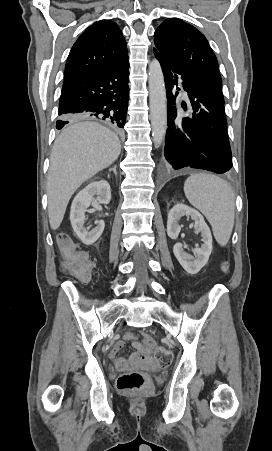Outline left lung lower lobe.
Instances as JSON below:
<instances>
[{
	"label": "left lung lower lobe",
	"mask_w": 272,
	"mask_h": 451,
	"mask_svg": "<svg viewBox=\"0 0 272 451\" xmlns=\"http://www.w3.org/2000/svg\"><path fill=\"white\" fill-rule=\"evenodd\" d=\"M164 74L168 100V129L164 155L168 169L189 167L223 174L232 167L231 148L227 133L224 102L190 77L155 48ZM182 80L188 93L193 116L177 119L175 103L178 92L174 87ZM180 90L177 88V91Z\"/></svg>",
	"instance_id": "0a47b994"
}]
</instances>
